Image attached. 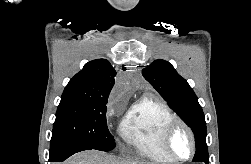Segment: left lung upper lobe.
Listing matches in <instances>:
<instances>
[{"label":"left lung upper lobe","mask_w":251,"mask_h":164,"mask_svg":"<svg viewBox=\"0 0 251 164\" xmlns=\"http://www.w3.org/2000/svg\"><path fill=\"white\" fill-rule=\"evenodd\" d=\"M144 78L168 102L170 107L184 118L196 138V154L193 162L209 164L206 144V122L198 98L187 81L167 61L155 60L142 70Z\"/></svg>","instance_id":"5c2ea615"}]
</instances>
